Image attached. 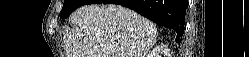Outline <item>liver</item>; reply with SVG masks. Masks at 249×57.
I'll return each mask as SVG.
<instances>
[{
    "label": "liver",
    "mask_w": 249,
    "mask_h": 57,
    "mask_svg": "<svg viewBox=\"0 0 249 57\" xmlns=\"http://www.w3.org/2000/svg\"><path fill=\"white\" fill-rule=\"evenodd\" d=\"M70 21L80 29L65 33L68 57H145L157 41L155 24L120 5L88 4Z\"/></svg>",
    "instance_id": "liver-1"
}]
</instances>
